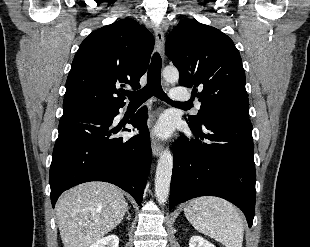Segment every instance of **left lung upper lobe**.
Wrapping results in <instances>:
<instances>
[{"instance_id": "obj_1", "label": "left lung upper lobe", "mask_w": 310, "mask_h": 247, "mask_svg": "<svg viewBox=\"0 0 310 247\" xmlns=\"http://www.w3.org/2000/svg\"><path fill=\"white\" fill-rule=\"evenodd\" d=\"M166 55L179 70V84L194 87L201 102L198 114L188 118L190 123L201 127L219 117L249 119L244 68L226 34L195 20H181L167 37Z\"/></svg>"}]
</instances>
